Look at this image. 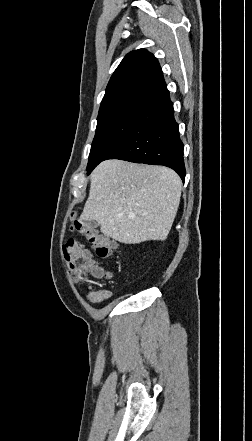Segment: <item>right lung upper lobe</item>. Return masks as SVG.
Returning <instances> with one entry per match:
<instances>
[{"label":"right lung upper lobe","instance_id":"right-lung-upper-lobe-1","mask_svg":"<svg viewBox=\"0 0 252 441\" xmlns=\"http://www.w3.org/2000/svg\"><path fill=\"white\" fill-rule=\"evenodd\" d=\"M166 87L158 60L146 49L127 54L113 73L99 112L136 100H147Z\"/></svg>","mask_w":252,"mask_h":441}]
</instances>
